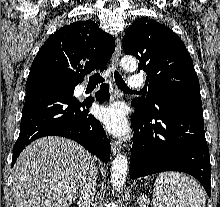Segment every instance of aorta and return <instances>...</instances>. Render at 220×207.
<instances>
[{
    "instance_id": "762f6f07",
    "label": "aorta",
    "mask_w": 220,
    "mask_h": 207,
    "mask_svg": "<svg viewBox=\"0 0 220 207\" xmlns=\"http://www.w3.org/2000/svg\"><path fill=\"white\" fill-rule=\"evenodd\" d=\"M121 67L126 71L136 70L137 60L133 56H124L120 61ZM128 171V159L125 155L119 154L113 161L111 169V183L113 193H119L125 184Z\"/></svg>"
}]
</instances>
